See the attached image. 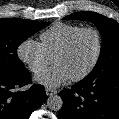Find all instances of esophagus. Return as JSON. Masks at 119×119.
I'll return each mask as SVG.
<instances>
[{
  "mask_svg": "<svg viewBox=\"0 0 119 119\" xmlns=\"http://www.w3.org/2000/svg\"><path fill=\"white\" fill-rule=\"evenodd\" d=\"M46 94H47L48 96H52V95H54V94H57V91H56V90H53V89H51V88H46Z\"/></svg>",
  "mask_w": 119,
  "mask_h": 119,
  "instance_id": "obj_1",
  "label": "esophagus"
}]
</instances>
